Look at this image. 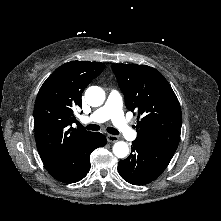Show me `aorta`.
<instances>
[{
    "mask_svg": "<svg viewBox=\"0 0 221 221\" xmlns=\"http://www.w3.org/2000/svg\"><path fill=\"white\" fill-rule=\"evenodd\" d=\"M85 99L90 106L98 107L105 101V92L98 86H91L85 92ZM113 153L118 158H125L129 153L126 142L118 141L113 145Z\"/></svg>",
    "mask_w": 221,
    "mask_h": 221,
    "instance_id": "762f6f07",
    "label": "aorta"
}]
</instances>
